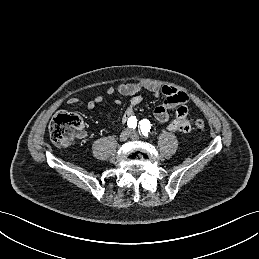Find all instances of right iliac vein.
Instances as JSON below:
<instances>
[{
    "instance_id": "right-iliac-vein-1",
    "label": "right iliac vein",
    "mask_w": 259,
    "mask_h": 259,
    "mask_svg": "<svg viewBox=\"0 0 259 259\" xmlns=\"http://www.w3.org/2000/svg\"><path fill=\"white\" fill-rule=\"evenodd\" d=\"M130 134H131V131H130L129 129L124 130V131L120 134L119 140H120L121 142H125V141L129 138Z\"/></svg>"
}]
</instances>
